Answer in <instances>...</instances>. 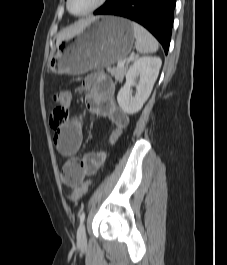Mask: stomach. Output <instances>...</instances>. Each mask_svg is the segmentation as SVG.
<instances>
[{
  "label": "stomach",
  "instance_id": "stomach-1",
  "mask_svg": "<svg viewBox=\"0 0 227 265\" xmlns=\"http://www.w3.org/2000/svg\"><path fill=\"white\" fill-rule=\"evenodd\" d=\"M131 22L115 16H100L77 36L63 40L48 60L52 73L80 75L123 60L134 44Z\"/></svg>",
  "mask_w": 227,
  "mask_h": 265
}]
</instances>
